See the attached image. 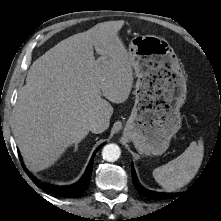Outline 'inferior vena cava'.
Listing matches in <instances>:
<instances>
[{
	"label": "inferior vena cava",
	"instance_id": "1",
	"mask_svg": "<svg viewBox=\"0 0 221 221\" xmlns=\"http://www.w3.org/2000/svg\"><path fill=\"white\" fill-rule=\"evenodd\" d=\"M106 127V124L102 120L98 119L90 123L89 130L92 133L99 134L102 133L106 129Z\"/></svg>",
	"mask_w": 221,
	"mask_h": 221
}]
</instances>
